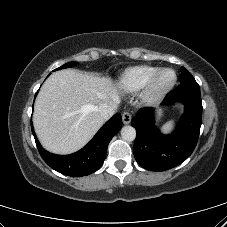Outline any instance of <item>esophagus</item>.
I'll return each mask as SVG.
<instances>
[{"label":"esophagus","instance_id":"1","mask_svg":"<svg viewBox=\"0 0 227 227\" xmlns=\"http://www.w3.org/2000/svg\"><path fill=\"white\" fill-rule=\"evenodd\" d=\"M131 114L127 111H125L123 114H122V120H123V123L124 124H129L130 121H131Z\"/></svg>","mask_w":227,"mask_h":227}]
</instances>
